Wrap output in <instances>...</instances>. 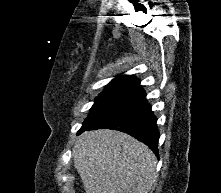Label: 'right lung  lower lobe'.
<instances>
[{
    "label": "right lung lower lobe",
    "mask_w": 221,
    "mask_h": 193,
    "mask_svg": "<svg viewBox=\"0 0 221 193\" xmlns=\"http://www.w3.org/2000/svg\"><path fill=\"white\" fill-rule=\"evenodd\" d=\"M156 122L157 118L151 110V105L147 102L145 92H143L119 110L83 125L79 133L98 128L119 130L142 141L158 155L159 130Z\"/></svg>",
    "instance_id": "1"
}]
</instances>
